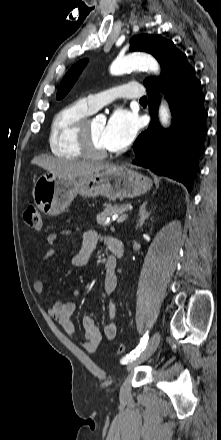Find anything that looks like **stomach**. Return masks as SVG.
<instances>
[{
  "label": "stomach",
  "mask_w": 221,
  "mask_h": 440,
  "mask_svg": "<svg viewBox=\"0 0 221 440\" xmlns=\"http://www.w3.org/2000/svg\"><path fill=\"white\" fill-rule=\"evenodd\" d=\"M152 187V181L133 168L123 165L112 167L79 178L59 177L51 172L38 177L33 187L37 208L45 215L63 212L78 195L110 199L134 198Z\"/></svg>",
  "instance_id": "1"
}]
</instances>
